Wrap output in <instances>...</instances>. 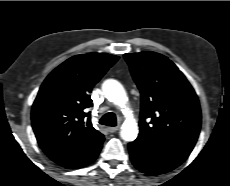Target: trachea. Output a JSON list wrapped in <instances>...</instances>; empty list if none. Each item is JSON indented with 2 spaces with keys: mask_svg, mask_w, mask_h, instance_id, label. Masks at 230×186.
Wrapping results in <instances>:
<instances>
[{
  "mask_svg": "<svg viewBox=\"0 0 230 186\" xmlns=\"http://www.w3.org/2000/svg\"><path fill=\"white\" fill-rule=\"evenodd\" d=\"M99 123L106 126H112V127L116 126L117 124L116 116L114 113L108 112L101 118Z\"/></svg>",
  "mask_w": 230,
  "mask_h": 186,
  "instance_id": "3493384b",
  "label": "trachea"
}]
</instances>
